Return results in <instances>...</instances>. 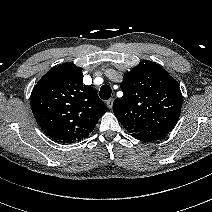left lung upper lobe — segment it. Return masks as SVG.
Masks as SVG:
<instances>
[{
  "instance_id": "left-lung-upper-lobe-1",
  "label": "left lung upper lobe",
  "mask_w": 212,
  "mask_h": 212,
  "mask_svg": "<svg viewBox=\"0 0 212 212\" xmlns=\"http://www.w3.org/2000/svg\"><path fill=\"white\" fill-rule=\"evenodd\" d=\"M123 96L113 102V112L131 135L169 133L182 107L178 83L162 67L141 62L127 73L120 85Z\"/></svg>"
}]
</instances>
